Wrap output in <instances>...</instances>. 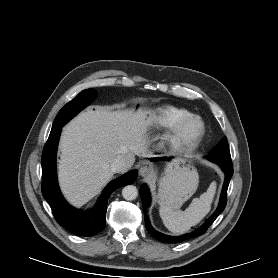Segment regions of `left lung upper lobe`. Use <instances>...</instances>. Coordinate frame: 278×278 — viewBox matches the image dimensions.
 Masks as SVG:
<instances>
[{
    "instance_id": "5c2ea615",
    "label": "left lung upper lobe",
    "mask_w": 278,
    "mask_h": 278,
    "mask_svg": "<svg viewBox=\"0 0 278 278\" xmlns=\"http://www.w3.org/2000/svg\"><path fill=\"white\" fill-rule=\"evenodd\" d=\"M207 158L217 164L232 165L226 137H224L220 143L209 152V156Z\"/></svg>"
}]
</instances>
